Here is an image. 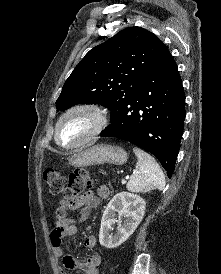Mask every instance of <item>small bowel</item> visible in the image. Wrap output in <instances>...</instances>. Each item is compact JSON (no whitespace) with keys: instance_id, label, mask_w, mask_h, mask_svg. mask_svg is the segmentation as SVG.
I'll return each mask as SVG.
<instances>
[{"instance_id":"1","label":"small bowel","mask_w":221,"mask_h":274,"mask_svg":"<svg viewBox=\"0 0 221 274\" xmlns=\"http://www.w3.org/2000/svg\"><path fill=\"white\" fill-rule=\"evenodd\" d=\"M110 191L106 186H100L97 194L91 192L73 200L61 201L55 210L54 228L51 232V244L55 258L61 260L60 273L67 274L66 270H81L85 274H100L101 256L99 254L90 255L86 261H78L70 254H65L62 249L64 238L70 237L77 232V223L85 220L90 210L98 207L101 199H106ZM79 211L78 219L72 218V212ZM97 240L94 235H89L84 240V247L92 250L96 247Z\"/></svg>"}]
</instances>
